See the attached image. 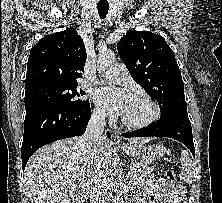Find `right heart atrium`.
<instances>
[{
  "mask_svg": "<svg viewBox=\"0 0 222 203\" xmlns=\"http://www.w3.org/2000/svg\"><path fill=\"white\" fill-rule=\"evenodd\" d=\"M93 118L99 122H103L107 118V114L104 110L100 108H95L93 111Z\"/></svg>",
  "mask_w": 222,
  "mask_h": 203,
  "instance_id": "d8ad5b80",
  "label": "right heart atrium"
}]
</instances>
